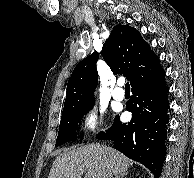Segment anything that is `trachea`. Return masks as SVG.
Masks as SVG:
<instances>
[{"mask_svg": "<svg viewBox=\"0 0 194 178\" xmlns=\"http://www.w3.org/2000/svg\"><path fill=\"white\" fill-rule=\"evenodd\" d=\"M125 91L130 92V84L129 83L125 84Z\"/></svg>", "mask_w": 194, "mask_h": 178, "instance_id": "1", "label": "trachea"}]
</instances>
